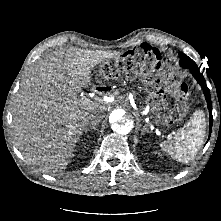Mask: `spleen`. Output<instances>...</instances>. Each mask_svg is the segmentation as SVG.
Here are the masks:
<instances>
[{"label": "spleen", "instance_id": "3e777b00", "mask_svg": "<svg viewBox=\"0 0 221 221\" xmlns=\"http://www.w3.org/2000/svg\"><path fill=\"white\" fill-rule=\"evenodd\" d=\"M206 122L202 111L198 110L193 118L173 137L160 144V148L182 162L193 160L203 145Z\"/></svg>", "mask_w": 221, "mask_h": 221}]
</instances>
